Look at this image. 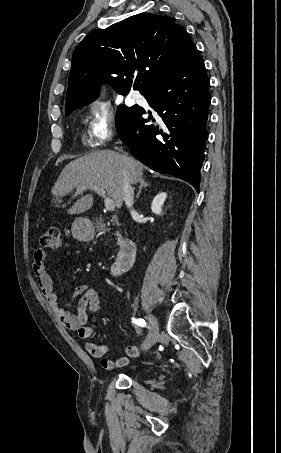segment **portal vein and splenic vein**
Listing matches in <instances>:
<instances>
[{
	"label": "portal vein and splenic vein",
	"instance_id": "1",
	"mask_svg": "<svg viewBox=\"0 0 281 453\" xmlns=\"http://www.w3.org/2000/svg\"><path fill=\"white\" fill-rule=\"evenodd\" d=\"M86 188H90V190H94V192H97V194H100V196H102V198H104L105 208H107V210H114L115 202H114L113 198H110V196H107L106 190H104V188H101V186H78L77 190H78V192H83V190H86Z\"/></svg>",
	"mask_w": 281,
	"mask_h": 453
}]
</instances>
